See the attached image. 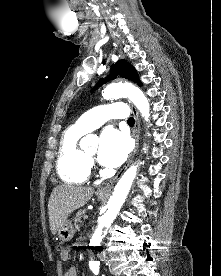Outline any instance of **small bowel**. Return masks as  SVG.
<instances>
[{
  "instance_id": "c3829d8e",
  "label": "small bowel",
  "mask_w": 221,
  "mask_h": 276,
  "mask_svg": "<svg viewBox=\"0 0 221 276\" xmlns=\"http://www.w3.org/2000/svg\"><path fill=\"white\" fill-rule=\"evenodd\" d=\"M70 254V250L69 249H65L62 253H61V257L63 260H67ZM77 269L74 266H70L66 269L64 276H77Z\"/></svg>"
}]
</instances>
